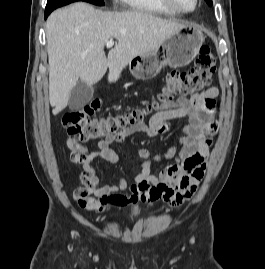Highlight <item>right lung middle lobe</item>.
I'll list each match as a JSON object with an SVG mask.
<instances>
[{
    "label": "right lung middle lobe",
    "mask_w": 265,
    "mask_h": 269,
    "mask_svg": "<svg viewBox=\"0 0 265 269\" xmlns=\"http://www.w3.org/2000/svg\"><path fill=\"white\" fill-rule=\"evenodd\" d=\"M79 1H85V2L92 3V4H95V5H98V6H103L104 5L103 0H79Z\"/></svg>",
    "instance_id": "1"
}]
</instances>
